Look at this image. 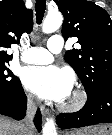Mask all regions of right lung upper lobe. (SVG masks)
Returning a JSON list of instances; mask_svg holds the SVG:
<instances>
[{"label": "right lung upper lobe", "instance_id": "1", "mask_svg": "<svg viewBox=\"0 0 112 135\" xmlns=\"http://www.w3.org/2000/svg\"><path fill=\"white\" fill-rule=\"evenodd\" d=\"M33 27L32 10L24 6L23 0H2L0 2V61H9L6 49L18 44L22 33H29Z\"/></svg>", "mask_w": 112, "mask_h": 135}]
</instances>
